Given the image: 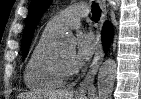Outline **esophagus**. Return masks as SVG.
Masks as SVG:
<instances>
[{
  "instance_id": "34e87169",
  "label": "esophagus",
  "mask_w": 141,
  "mask_h": 99,
  "mask_svg": "<svg viewBox=\"0 0 141 99\" xmlns=\"http://www.w3.org/2000/svg\"><path fill=\"white\" fill-rule=\"evenodd\" d=\"M97 2L102 10L101 19L97 28V47L89 71L79 87V95L85 99L90 98L95 93V86L93 83L104 56V50L101 42V30L104 22L107 20L108 9L105 0H97Z\"/></svg>"
}]
</instances>
